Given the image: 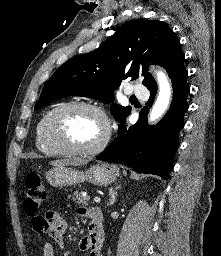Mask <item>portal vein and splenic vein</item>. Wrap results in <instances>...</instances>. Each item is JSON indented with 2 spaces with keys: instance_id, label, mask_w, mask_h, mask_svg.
Wrapping results in <instances>:
<instances>
[{
  "instance_id": "obj_1",
  "label": "portal vein and splenic vein",
  "mask_w": 221,
  "mask_h": 256,
  "mask_svg": "<svg viewBox=\"0 0 221 256\" xmlns=\"http://www.w3.org/2000/svg\"><path fill=\"white\" fill-rule=\"evenodd\" d=\"M94 202H95V203H100V202H101L100 197H94Z\"/></svg>"
}]
</instances>
